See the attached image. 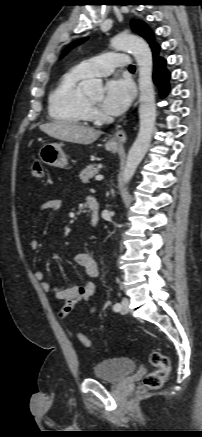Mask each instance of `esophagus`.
Returning a JSON list of instances; mask_svg holds the SVG:
<instances>
[{"label":"esophagus","instance_id":"34e87169","mask_svg":"<svg viewBox=\"0 0 202 437\" xmlns=\"http://www.w3.org/2000/svg\"><path fill=\"white\" fill-rule=\"evenodd\" d=\"M126 132L124 129H118L113 136L111 137L110 141L113 144H117V145H121L123 143H125L126 141Z\"/></svg>","mask_w":202,"mask_h":437}]
</instances>
